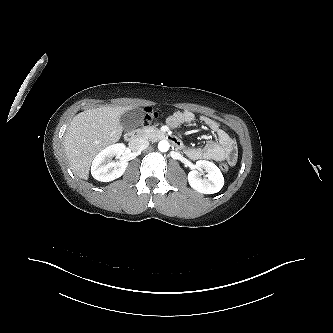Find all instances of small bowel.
<instances>
[{"instance_id": "small-bowel-1", "label": "small bowel", "mask_w": 333, "mask_h": 333, "mask_svg": "<svg viewBox=\"0 0 333 333\" xmlns=\"http://www.w3.org/2000/svg\"><path fill=\"white\" fill-rule=\"evenodd\" d=\"M195 120V115L188 110L177 111L167 118V124L170 127H178L184 123H191ZM203 122L209 130L215 135L216 141H208L202 147H188L185 150L186 155L192 160H227L231 165L237 160V144L230 137L225 127L208 116H201Z\"/></svg>"}]
</instances>
